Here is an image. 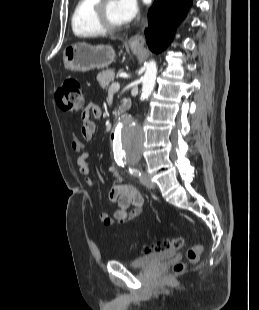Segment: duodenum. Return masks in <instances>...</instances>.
<instances>
[{"mask_svg": "<svg viewBox=\"0 0 259 310\" xmlns=\"http://www.w3.org/2000/svg\"><path fill=\"white\" fill-rule=\"evenodd\" d=\"M127 105H128V102L123 101L121 106L114 111V116L115 117L121 116L125 112Z\"/></svg>", "mask_w": 259, "mask_h": 310, "instance_id": "obj_1", "label": "duodenum"}]
</instances>
